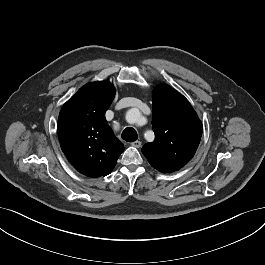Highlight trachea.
Returning a JSON list of instances; mask_svg holds the SVG:
<instances>
[{"label": "trachea", "instance_id": "1", "mask_svg": "<svg viewBox=\"0 0 265 265\" xmlns=\"http://www.w3.org/2000/svg\"><path fill=\"white\" fill-rule=\"evenodd\" d=\"M122 139H124L127 142H134L137 140L138 135L137 132L134 128L132 127H127L124 129L121 135Z\"/></svg>", "mask_w": 265, "mask_h": 265}]
</instances>
